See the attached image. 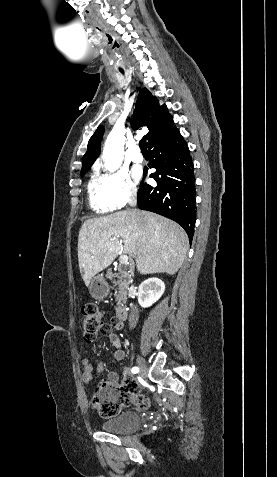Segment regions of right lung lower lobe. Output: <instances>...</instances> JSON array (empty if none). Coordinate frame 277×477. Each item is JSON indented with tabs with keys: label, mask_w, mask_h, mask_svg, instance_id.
<instances>
[{
	"label": "right lung lower lobe",
	"mask_w": 277,
	"mask_h": 477,
	"mask_svg": "<svg viewBox=\"0 0 277 477\" xmlns=\"http://www.w3.org/2000/svg\"><path fill=\"white\" fill-rule=\"evenodd\" d=\"M150 175L157 186L141 183L137 195L140 209L152 211L179 223L190 242L196 221L195 177L187 143L175 127L162 140L148 147ZM144 174H147L145 168Z\"/></svg>",
	"instance_id": "98d812e1"
}]
</instances>
